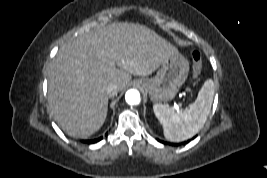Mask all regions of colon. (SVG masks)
I'll list each match as a JSON object with an SVG mask.
<instances>
[{
  "label": "colon",
  "mask_w": 267,
  "mask_h": 178,
  "mask_svg": "<svg viewBox=\"0 0 267 178\" xmlns=\"http://www.w3.org/2000/svg\"><path fill=\"white\" fill-rule=\"evenodd\" d=\"M191 59L193 61V74L198 76L202 70V54L199 50H193L191 52Z\"/></svg>",
  "instance_id": "1"
}]
</instances>
